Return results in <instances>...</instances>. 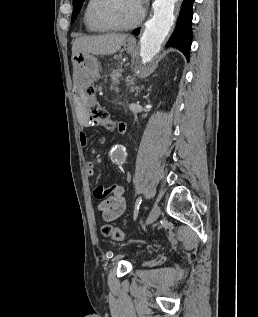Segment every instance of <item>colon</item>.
<instances>
[{"label":"colon","mask_w":258,"mask_h":317,"mask_svg":"<svg viewBox=\"0 0 258 317\" xmlns=\"http://www.w3.org/2000/svg\"><path fill=\"white\" fill-rule=\"evenodd\" d=\"M85 106L90 117V122L93 125L102 126L107 129H114L116 127V123L110 118L109 113L96 100L93 88H88L85 93ZM102 233L105 237L116 242L122 241L125 238L124 232L112 225H104Z\"/></svg>","instance_id":"5ec220e1"}]
</instances>
